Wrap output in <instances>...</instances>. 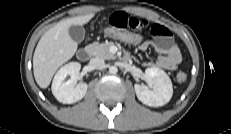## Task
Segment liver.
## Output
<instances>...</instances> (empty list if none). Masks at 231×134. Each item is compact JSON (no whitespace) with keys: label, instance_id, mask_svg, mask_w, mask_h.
<instances>
[{"label":"liver","instance_id":"1","mask_svg":"<svg viewBox=\"0 0 231 134\" xmlns=\"http://www.w3.org/2000/svg\"><path fill=\"white\" fill-rule=\"evenodd\" d=\"M94 13L67 18L47 30L40 38L33 55V72L37 84L45 89L49 86L57 69L70 60L77 50L68 29L72 25H84Z\"/></svg>","mask_w":231,"mask_h":134}]
</instances>
